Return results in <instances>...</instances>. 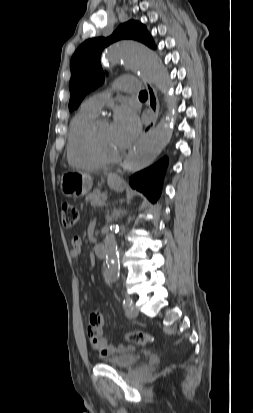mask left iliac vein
Returning a JSON list of instances; mask_svg holds the SVG:
<instances>
[{"label":"left iliac vein","mask_w":253,"mask_h":413,"mask_svg":"<svg viewBox=\"0 0 253 413\" xmlns=\"http://www.w3.org/2000/svg\"><path fill=\"white\" fill-rule=\"evenodd\" d=\"M126 315L129 318H134L138 315V309L136 308L133 302L129 307H126Z\"/></svg>","instance_id":"obj_1"}]
</instances>
